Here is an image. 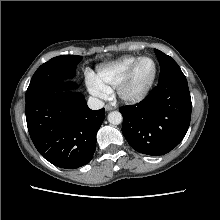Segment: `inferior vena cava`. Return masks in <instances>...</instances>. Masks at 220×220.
I'll list each match as a JSON object with an SVG mask.
<instances>
[{"label": "inferior vena cava", "instance_id": "602c4592", "mask_svg": "<svg viewBox=\"0 0 220 220\" xmlns=\"http://www.w3.org/2000/svg\"><path fill=\"white\" fill-rule=\"evenodd\" d=\"M87 103L89 108L92 110H99L104 106V102L96 97H89Z\"/></svg>", "mask_w": 220, "mask_h": 220}]
</instances>
